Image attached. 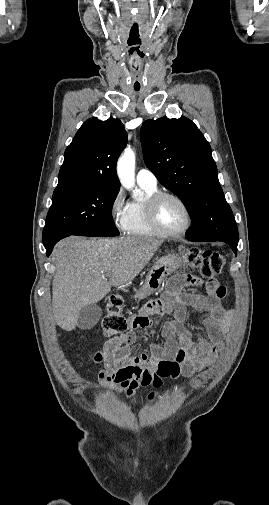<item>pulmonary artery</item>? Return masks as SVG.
I'll use <instances>...</instances> for the list:
<instances>
[{
	"instance_id": "obj_1",
	"label": "pulmonary artery",
	"mask_w": 269,
	"mask_h": 505,
	"mask_svg": "<svg viewBox=\"0 0 269 505\" xmlns=\"http://www.w3.org/2000/svg\"><path fill=\"white\" fill-rule=\"evenodd\" d=\"M139 184L148 185L151 187L157 186V178L149 169L141 168L136 175Z\"/></svg>"
}]
</instances>
